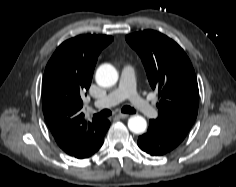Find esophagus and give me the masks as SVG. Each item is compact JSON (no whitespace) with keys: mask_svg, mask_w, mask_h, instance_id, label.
<instances>
[{"mask_svg":"<svg viewBox=\"0 0 236 187\" xmlns=\"http://www.w3.org/2000/svg\"><path fill=\"white\" fill-rule=\"evenodd\" d=\"M115 117L120 118V119H124V118H128L129 115L128 114L119 113Z\"/></svg>","mask_w":236,"mask_h":187,"instance_id":"obj_1","label":"esophagus"}]
</instances>
